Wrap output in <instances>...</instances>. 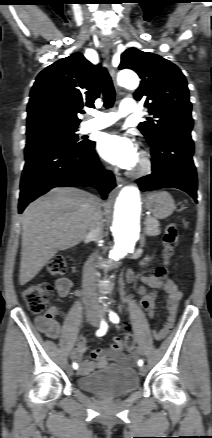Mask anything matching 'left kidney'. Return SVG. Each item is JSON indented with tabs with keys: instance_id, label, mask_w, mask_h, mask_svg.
Listing matches in <instances>:
<instances>
[{
	"instance_id": "5707ae66",
	"label": "left kidney",
	"mask_w": 212,
	"mask_h": 438,
	"mask_svg": "<svg viewBox=\"0 0 212 438\" xmlns=\"http://www.w3.org/2000/svg\"><path fill=\"white\" fill-rule=\"evenodd\" d=\"M149 260V258H145V261H148ZM144 263L143 262H141V265H143Z\"/></svg>"
}]
</instances>
